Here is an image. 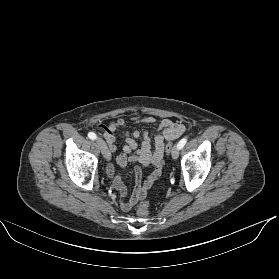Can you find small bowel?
<instances>
[{
    "instance_id": "obj_1",
    "label": "small bowel",
    "mask_w": 279,
    "mask_h": 279,
    "mask_svg": "<svg viewBox=\"0 0 279 279\" xmlns=\"http://www.w3.org/2000/svg\"><path fill=\"white\" fill-rule=\"evenodd\" d=\"M133 124H149L156 129L153 143L147 133L142 136V142L138 147L137 139L140 137V132L133 131L125 134V145L123 152L116 154V162L119 166L125 167L129 162H138L145 166H151L152 170L142 182V172L139 167H135L134 173L136 176V187L130 198L127 196V188L123 183L120 175L117 173L113 164H108L106 172L112 180L114 187L120 193V206L124 211L131 210L135 204L144 199L148 190L151 188L156 179L160 176L164 164V144L166 141L174 140L180 137L186 131L183 124L174 122L168 118H164L159 122L153 116H134L131 118ZM126 126L124 119H119L114 126L106 129L104 136L112 153H117L115 131L118 128Z\"/></svg>"
}]
</instances>
